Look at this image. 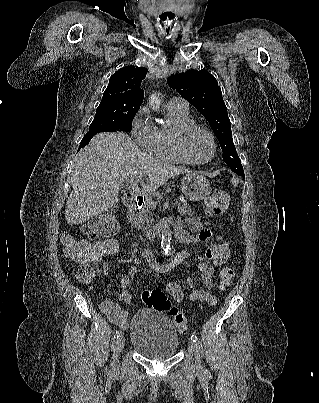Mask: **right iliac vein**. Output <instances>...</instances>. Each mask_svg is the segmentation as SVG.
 Listing matches in <instances>:
<instances>
[{"mask_svg": "<svg viewBox=\"0 0 319 403\" xmlns=\"http://www.w3.org/2000/svg\"><path fill=\"white\" fill-rule=\"evenodd\" d=\"M125 345V339L123 336H120L114 344L113 348V355H112V370L116 371L119 368V354L122 351L123 347Z\"/></svg>", "mask_w": 319, "mask_h": 403, "instance_id": "obj_1", "label": "right iliac vein"}]
</instances>
